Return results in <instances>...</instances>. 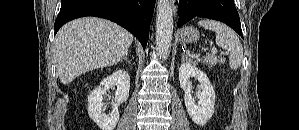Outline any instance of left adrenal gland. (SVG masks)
<instances>
[{"instance_id": "a2214340", "label": "left adrenal gland", "mask_w": 299, "mask_h": 130, "mask_svg": "<svg viewBox=\"0 0 299 130\" xmlns=\"http://www.w3.org/2000/svg\"><path fill=\"white\" fill-rule=\"evenodd\" d=\"M187 59H188L187 55L185 54V52H183L182 53V61H185Z\"/></svg>"}]
</instances>
